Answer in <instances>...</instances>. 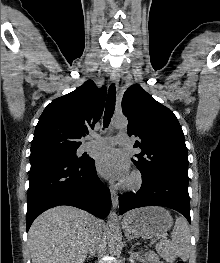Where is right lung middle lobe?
Returning <instances> with one entry per match:
<instances>
[{
    "mask_svg": "<svg viewBox=\"0 0 220 263\" xmlns=\"http://www.w3.org/2000/svg\"><path fill=\"white\" fill-rule=\"evenodd\" d=\"M78 148H70V149H58V150H50L45 151L43 153H50L52 155H55L59 158L68 160V161H74V162H81L87 159V157H77L76 151Z\"/></svg>",
    "mask_w": 220,
    "mask_h": 263,
    "instance_id": "obj_1",
    "label": "right lung middle lobe"
}]
</instances>
